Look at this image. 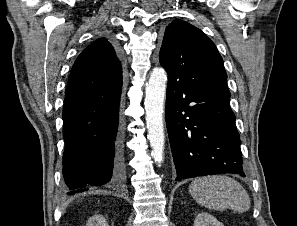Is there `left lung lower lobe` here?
I'll use <instances>...</instances> for the list:
<instances>
[{
	"label": "left lung lower lobe",
	"instance_id": "0a47b994",
	"mask_svg": "<svg viewBox=\"0 0 297 226\" xmlns=\"http://www.w3.org/2000/svg\"><path fill=\"white\" fill-rule=\"evenodd\" d=\"M230 92L198 90L168 78L166 124L176 181L219 173L245 177Z\"/></svg>",
	"mask_w": 297,
	"mask_h": 226
}]
</instances>
